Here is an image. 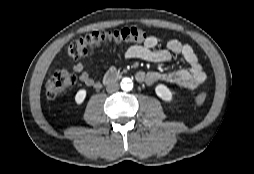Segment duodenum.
I'll return each mask as SVG.
<instances>
[{
  "label": "duodenum",
  "mask_w": 254,
  "mask_h": 174,
  "mask_svg": "<svg viewBox=\"0 0 254 174\" xmlns=\"http://www.w3.org/2000/svg\"><path fill=\"white\" fill-rule=\"evenodd\" d=\"M120 78V74L118 73L117 70L113 69L110 70L109 72H107V74L105 75L104 79H103V83L105 85L111 84L115 81H117Z\"/></svg>",
  "instance_id": "410a0bca"
}]
</instances>
